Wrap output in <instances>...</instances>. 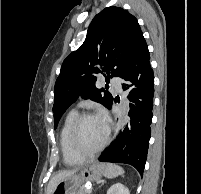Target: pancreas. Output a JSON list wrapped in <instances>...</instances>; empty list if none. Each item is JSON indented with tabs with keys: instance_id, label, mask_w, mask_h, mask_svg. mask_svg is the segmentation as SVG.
Here are the masks:
<instances>
[{
	"instance_id": "pancreas-1",
	"label": "pancreas",
	"mask_w": 201,
	"mask_h": 194,
	"mask_svg": "<svg viewBox=\"0 0 201 194\" xmlns=\"http://www.w3.org/2000/svg\"><path fill=\"white\" fill-rule=\"evenodd\" d=\"M76 194H89V193L84 188H81L78 190V192Z\"/></svg>"
}]
</instances>
